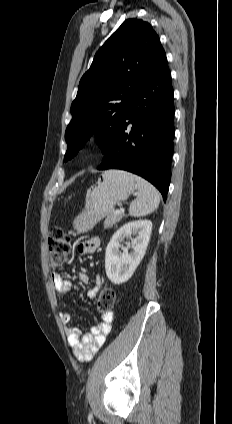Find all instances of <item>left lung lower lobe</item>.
I'll list each match as a JSON object with an SVG mask.
<instances>
[{"instance_id": "0a47b994", "label": "left lung lower lobe", "mask_w": 232, "mask_h": 424, "mask_svg": "<svg viewBox=\"0 0 232 424\" xmlns=\"http://www.w3.org/2000/svg\"><path fill=\"white\" fill-rule=\"evenodd\" d=\"M173 100L165 57L133 96L98 169H121L142 176L165 201L173 154ZM129 125L131 130L127 131Z\"/></svg>"}]
</instances>
